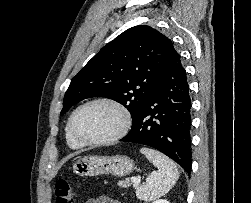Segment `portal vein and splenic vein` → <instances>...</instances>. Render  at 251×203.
Masks as SVG:
<instances>
[{"label":"portal vein and splenic vein","instance_id":"18ae733b","mask_svg":"<svg viewBox=\"0 0 251 203\" xmlns=\"http://www.w3.org/2000/svg\"><path fill=\"white\" fill-rule=\"evenodd\" d=\"M131 181H132L133 183L137 184V178H136V177H132V178H131Z\"/></svg>","mask_w":251,"mask_h":203}]
</instances>
